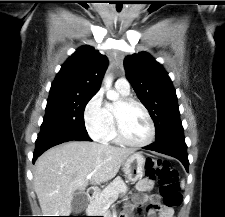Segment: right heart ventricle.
<instances>
[{
  "mask_svg": "<svg viewBox=\"0 0 225 217\" xmlns=\"http://www.w3.org/2000/svg\"><path fill=\"white\" fill-rule=\"evenodd\" d=\"M119 93L123 97H127L129 95V94L123 93L121 91H119ZM113 109H114L113 104L108 103L105 105V111H106V115H107L108 122H109V130L106 133L105 137L102 139V141L106 142V143L120 144L121 142L119 141V139L117 137V133H116V129H115Z\"/></svg>",
  "mask_w": 225,
  "mask_h": 217,
  "instance_id": "right-heart-ventricle-1",
  "label": "right heart ventricle"
}]
</instances>
